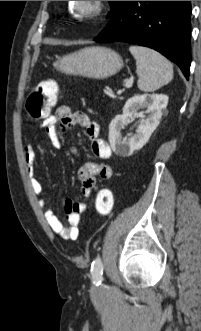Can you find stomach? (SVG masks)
<instances>
[{
	"label": "stomach",
	"mask_w": 201,
	"mask_h": 331,
	"mask_svg": "<svg viewBox=\"0 0 201 331\" xmlns=\"http://www.w3.org/2000/svg\"><path fill=\"white\" fill-rule=\"evenodd\" d=\"M54 66L62 73L105 79L122 68L123 60L110 48L91 46L59 58Z\"/></svg>",
	"instance_id": "obj_1"
}]
</instances>
